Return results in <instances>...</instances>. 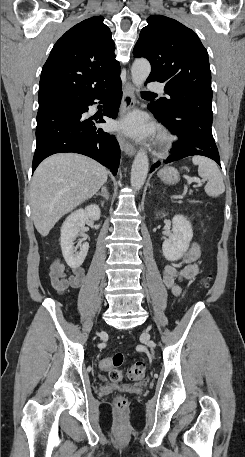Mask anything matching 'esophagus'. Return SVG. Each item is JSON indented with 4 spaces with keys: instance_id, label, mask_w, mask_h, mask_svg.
<instances>
[{
    "instance_id": "esophagus-1",
    "label": "esophagus",
    "mask_w": 245,
    "mask_h": 457,
    "mask_svg": "<svg viewBox=\"0 0 245 457\" xmlns=\"http://www.w3.org/2000/svg\"><path fill=\"white\" fill-rule=\"evenodd\" d=\"M135 104L136 99L134 87L132 83L128 82L123 90L122 105L119 112V118H124L126 114L135 107ZM116 137L124 153L128 156H133L135 154L134 144L130 142L122 132H118Z\"/></svg>"
}]
</instances>
